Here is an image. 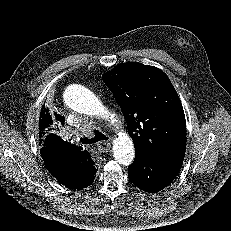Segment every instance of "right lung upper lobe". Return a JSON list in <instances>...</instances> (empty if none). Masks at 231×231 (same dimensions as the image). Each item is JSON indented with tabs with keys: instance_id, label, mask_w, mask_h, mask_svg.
<instances>
[{
	"instance_id": "1",
	"label": "right lung upper lobe",
	"mask_w": 231,
	"mask_h": 231,
	"mask_svg": "<svg viewBox=\"0 0 231 231\" xmlns=\"http://www.w3.org/2000/svg\"><path fill=\"white\" fill-rule=\"evenodd\" d=\"M59 124H64V118L59 115L54 118L48 107L43 105L39 118V135L44 164L63 185L73 189L85 188L88 186L86 181L91 166L86 162L89 153L53 133L55 126Z\"/></svg>"
}]
</instances>
